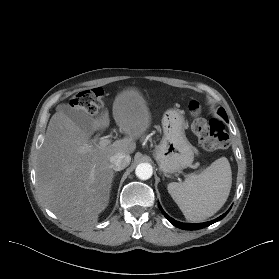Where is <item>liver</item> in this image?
<instances>
[{
	"instance_id": "obj_1",
	"label": "liver",
	"mask_w": 279,
	"mask_h": 279,
	"mask_svg": "<svg viewBox=\"0 0 279 279\" xmlns=\"http://www.w3.org/2000/svg\"><path fill=\"white\" fill-rule=\"evenodd\" d=\"M51 117L36 165V181L41 199L67 226L79 230L94 226L109 203L113 170L110 157L118 152L131 154L135 140L151 124L143 95L136 88L118 93L113 102V118L125 137L101 146L90 140L63 111ZM105 110L93 118L94 131L109 126ZM85 147H89V150Z\"/></svg>"
}]
</instances>
